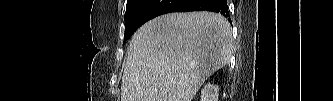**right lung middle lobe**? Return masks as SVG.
Returning <instances> with one entry per match:
<instances>
[{
    "instance_id": "1",
    "label": "right lung middle lobe",
    "mask_w": 333,
    "mask_h": 101,
    "mask_svg": "<svg viewBox=\"0 0 333 101\" xmlns=\"http://www.w3.org/2000/svg\"><path fill=\"white\" fill-rule=\"evenodd\" d=\"M145 0H127L126 13H125V34L124 43L135 32L133 22L135 16Z\"/></svg>"
}]
</instances>
